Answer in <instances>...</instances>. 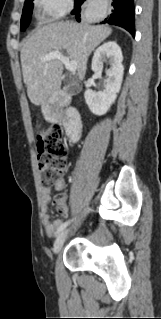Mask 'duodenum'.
Instances as JSON below:
<instances>
[{
	"mask_svg": "<svg viewBox=\"0 0 161 319\" xmlns=\"http://www.w3.org/2000/svg\"><path fill=\"white\" fill-rule=\"evenodd\" d=\"M44 115L49 121L63 124L71 143H76L82 133V121L79 111L69 106L68 96L60 89L53 95L52 101L44 107Z\"/></svg>",
	"mask_w": 161,
	"mask_h": 319,
	"instance_id": "duodenum-1",
	"label": "duodenum"
}]
</instances>
